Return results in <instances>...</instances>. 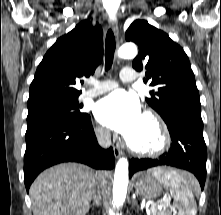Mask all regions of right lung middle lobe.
<instances>
[{
	"mask_svg": "<svg viewBox=\"0 0 221 215\" xmlns=\"http://www.w3.org/2000/svg\"><path fill=\"white\" fill-rule=\"evenodd\" d=\"M81 105L78 99L56 101L42 105L28 107L27 126L44 118L53 116L82 117L87 113L79 111Z\"/></svg>",
	"mask_w": 221,
	"mask_h": 215,
	"instance_id": "1",
	"label": "right lung middle lobe"
}]
</instances>
